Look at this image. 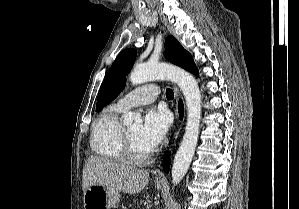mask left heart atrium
<instances>
[{"label": "left heart atrium", "instance_id": "left-heart-atrium-1", "mask_svg": "<svg viewBox=\"0 0 299 209\" xmlns=\"http://www.w3.org/2000/svg\"><path fill=\"white\" fill-rule=\"evenodd\" d=\"M169 124V117L165 110L160 108L148 110L140 129V140L150 150H153L164 139L169 128Z\"/></svg>", "mask_w": 299, "mask_h": 209}]
</instances>
